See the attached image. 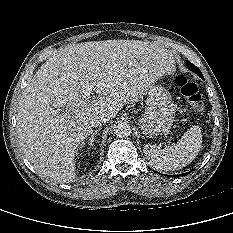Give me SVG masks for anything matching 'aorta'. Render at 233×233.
<instances>
[{"mask_svg": "<svg viewBox=\"0 0 233 233\" xmlns=\"http://www.w3.org/2000/svg\"><path fill=\"white\" fill-rule=\"evenodd\" d=\"M113 129L114 134L119 138H126L130 136L132 132L131 125L126 121H118Z\"/></svg>", "mask_w": 233, "mask_h": 233, "instance_id": "obj_1", "label": "aorta"}]
</instances>
